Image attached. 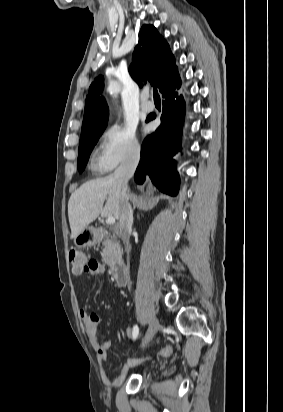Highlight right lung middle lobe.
I'll return each mask as SVG.
<instances>
[{
  "mask_svg": "<svg viewBox=\"0 0 283 412\" xmlns=\"http://www.w3.org/2000/svg\"><path fill=\"white\" fill-rule=\"evenodd\" d=\"M103 131L96 132L85 137L80 138L78 151V171L81 173L89 159L90 153L97 143Z\"/></svg>",
  "mask_w": 283,
  "mask_h": 412,
  "instance_id": "1",
  "label": "right lung middle lobe"
}]
</instances>
